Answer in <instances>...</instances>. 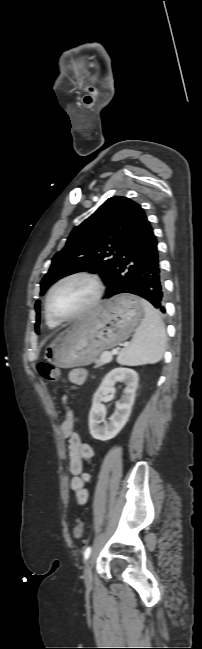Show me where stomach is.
<instances>
[{"label":"stomach","mask_w":202,"mask_h":649,"mask_svg":"<svg viewBox=\"0 0 202 649\" xmlns=\"http://www.w3.org/2000/svg\"><path fill=\"white\" fill-rule=\"evenodd\" d=\"M144 314L139 297L114 296L59 333L46 346L44 358L60 368L90 364L102 351L126 340Z\"/></svg>","instance_id":"obj_1"}]
</instances>
